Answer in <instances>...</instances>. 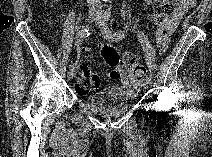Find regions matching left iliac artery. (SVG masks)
<instances>
[{
  "label": "left iliac artery",
  "mask_w": 212,
  "mask_h": 157,
  "mask_svg": "<svg viewBox=\"0 0 212 157\" xmlns=\"http://www.w3.org/2000/svg\"><path fill=\"white\" fill-rule=\"evenodd\" d=\"M110 15L105 14L103 16L104 24L101 27V32L104 36V38L112 40V41H119L124 38V32L123 31H117V32H112L109 27L107 26V21L109 20ZM145 83L149 84L151 83V78L145 75L143 77V80Z\"/></svg>",
  "instance_id": "obj_1"
}]
</instances>
